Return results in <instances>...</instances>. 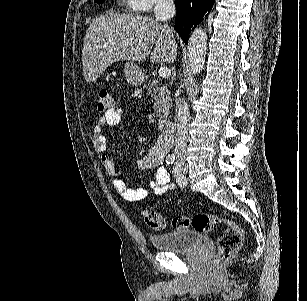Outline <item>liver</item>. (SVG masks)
Wrapping results in <instances>:
<instances>
[{"label":"liver","instance_id":"obj_1","mask_svg":"<svg viewBox=\"0 0 307 301\" xmlns=\"http://www.w3.org/2000/svg\"><path fill=\"white\" fill-rule=\"evenodd\" d=\"M177 50L171 26L152 16L121 12L101 14L93 18L85 34L84 78L87 82H96L112 62H140L149 54L152 62H174Z\"/></svg>","mask_w":307,"mask_h":301}]
</instances>
